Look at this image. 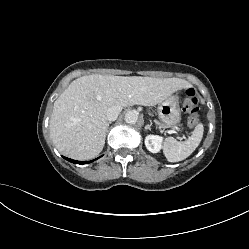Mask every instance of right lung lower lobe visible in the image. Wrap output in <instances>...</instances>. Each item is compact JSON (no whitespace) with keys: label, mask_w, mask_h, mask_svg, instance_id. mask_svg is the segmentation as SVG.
Masks as SVG:
<instances>
[{"label":"right lung lower lobe","mask_w":249,"mask_h":249,"mask_svg":"<svg viewBox=\"0 0 249 249\" xmlns=\"http://www.w3.org/2000/svg\"><path fill=\"white\" fill-rule=\"evenodd\" d=\"M64 158H65L66 160L72 162V163H75V164H87V163H91V162L94 161V160H92V161H76V160H72V159H69V158H66V157H64Z\"/></svg>","instance_id":"obj_1"}]
</instances>
